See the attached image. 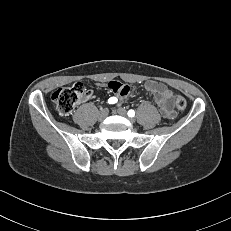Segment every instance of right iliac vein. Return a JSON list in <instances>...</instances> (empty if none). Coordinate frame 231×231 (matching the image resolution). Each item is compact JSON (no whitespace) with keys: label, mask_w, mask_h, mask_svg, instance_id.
Returning a JSON list of instances; mask_svg holds the SVG:
<instances>
[{"label":"right iliac vein","mask_w":231,"mask_h":231,"mask_svg":"<svg viewBox=\"0 0 231 231\" xmlns=\"http://www.w3.org/2000/svg\"><path fill=\"white\" fill-rule=\"evenodd\" d=\"M108 113L109 111L107 108L101 110V112L98 115L99 120H104L108 116Z\"/></svg>","instance_id":"1"}]
</instances>
